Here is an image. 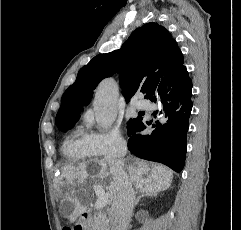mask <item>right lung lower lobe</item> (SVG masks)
<instances>
[{"label":"right lung lower lobe","instance_id":"1","mask_svg":"<svg viewBox=\"0 0 241 230\" xmlns=\"http://www.w3.org/2000/svg\"><path fill=\"white\" fill-rule=\"evenodd\" d=\"M161 103L162 121L142 119L129 131L128 149L136 156L180 172L185 163L192 110V81L184 65L166 75L148 99ZM142 134H135L143 131Z\"/></svg>","mask_w":241,"mask_h":230}]
</instances>
